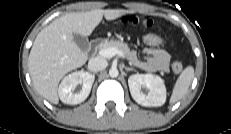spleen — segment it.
<instances>
[{
	"label": "spleen",
	"mask_w": 231,
	"mask_h": 134,
	"mask_svg": "<svg viewBox=\"0 0 231 134\" xmlns=\"http://www.w3.org/2000/svg\"><path fill=\"white\" fill-rule=\"evenodd\" d=\"M194 78V68L187 66L179 75L170 98V103L173 104L181 100L187 93L189 86Z\"/></svg>",
	"instance_id": "1"
}]
</instances>
